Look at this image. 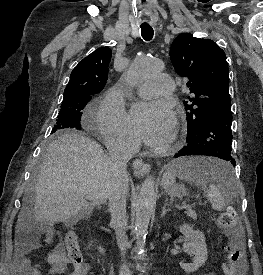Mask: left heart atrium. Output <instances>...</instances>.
Wrapping results in <instances>:
<instances>
[{"instance_id":"1","label":"left heart atrium","mask_w":263,"mask_h":275,"mask_svg":"<svg viewBox=\"0 0 263 275\" xmlns=\"http://www.w3.org/2000/svg\"><path fill=\"white\" fill-rule=\"evenodd\" d=\"M131 126L138 138L147 145H163L174 131L173 110L161 100L138 103L131 110Z\"/></svg>"}]
</instances>
